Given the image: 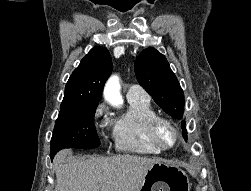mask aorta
Listing matches in <instances>:
<instances>
[{
    "mask_svg": "<svg viewBox=\"0 0 251 191\" xmlns=\"http://www.w3.org/2000/svg\"><path fill=\"white\" fill-rule=\"evenodd\" d=\"M121 86L119 84L118 76H111L108 82L105 84L104 97L106 101H109L111 105H116L119 107L123 103V97L120 94Z\"/></svg>",
    "mask_w": 251,
    "mask_h": 191,
    "instance_id": "obj_1",
    "label": "aorta"
}]
</instances>
